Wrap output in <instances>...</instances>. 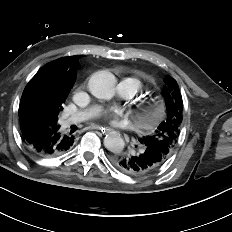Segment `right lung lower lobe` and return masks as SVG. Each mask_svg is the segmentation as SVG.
<instances>
[{
  "label": "right lung lower lobe",
  "instance_id": "98d812e1",
  "mask_svg": "<svg viewBox=\"0 0 232 232\" xmlns=\"http://www.w3.org/2000/svg\"><path fill=\"white\" fill-rule=\"evenodd\" d=\"M22 139L28 148L41 157L57 156L69 150L75 140L70 134H64L58 125L49 128L48 125L40 127L31 117H20Z\"/></svg>",
  "mask_w": 232,
  "mask_h": 232
}]
</instances>
